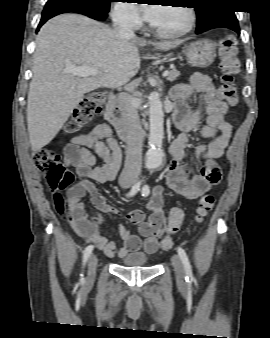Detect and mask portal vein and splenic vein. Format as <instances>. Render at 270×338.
<instances>
[{
	"mask_svg": "<svg viewBox=\"0 0 270 338\" xmlns=\"http://www.w3.org/2000/svg\"><path fill=\"white\" fill-rule=\"evenodd\" d=\"M65 72L71 73L73 75L79 76V77H88V76H95L99 74V70L95 68H90V67H73L69 66L65 69ZM169 74L168 70H165L163 72V77H167Z\"/></svg>",
	"mask_w": 270,
	"mask_h": 338,
	"instance_id": "portal-vein-and-splenic-vein-1",
	"label": "portal vein and splenic vein"
}]
</instances>
